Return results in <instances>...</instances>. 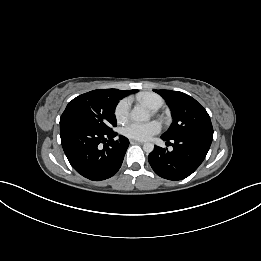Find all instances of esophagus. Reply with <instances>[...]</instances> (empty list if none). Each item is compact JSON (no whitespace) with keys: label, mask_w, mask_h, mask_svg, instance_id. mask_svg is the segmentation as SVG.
<instances>
[{"label":"esophagus","mask_w":261,"mask_h":261,"mask_svg":"<svg viewBox=\"0 0 261 261\" xmlns=\"http://www.w3.org/2000/svg\"><path fill=\"white\" fill-rule=\"evenodd\" d=\"M131 144H143L142 141H137V140H130Z\"/></svg>","instance_id":"1"}]
</instances>
